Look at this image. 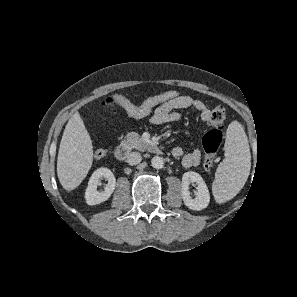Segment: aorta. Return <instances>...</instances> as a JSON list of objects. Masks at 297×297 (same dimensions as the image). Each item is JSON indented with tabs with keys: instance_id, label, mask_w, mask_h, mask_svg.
<instances>
[{
	"instance_id": "obj_1",
	"label": "aorta",
	"mask_w": 297,
	"mask_h": 297,
	"mask_svg": "<svg viewBox=\"0 0 297 297\" xmlns=\"http://www.w3.org/2000/svg\"><path fill=\"white\" fill-rule=\"evenodd\" d=\"M151 165L153 168L155 169H161L164 166V160L162 157L160 156H155L153 157V159L151 160Z\"/></svg>"
}]
</instances>
